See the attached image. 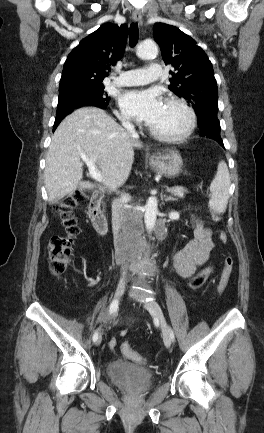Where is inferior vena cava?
Listing matches in <instances>:
<instances>
[{
	"label": "inferior vena cava",
	"mask_w": 264,
	"mask_h": 433,
	"mask_svg": "<svg viewBox=\"0 0 264 433\" xmlns=\"http://www.w3.org/2000/svg\"><path fill=\"white\" fill-rule=\"evenodd\" d=\"M122 125L125 127V129L127 130L128 133H131L132 135L136 134L134 126L129 121L123 120ZM125 199H126V196L122 194V196L120 198L115 199L113 201V204H112V225H113V229H114V231H113L114 236L116 237V242H117V239L119 237L124 236V233L118 228H121V226L119 224L122 220L121 210H122V207H124L123 205H124ZM135 252H137V251H135ZM125 275H126V271L124 268H122V277H125Z\"/></svg>",
	"instance_id": "1"
}]
</instances>
